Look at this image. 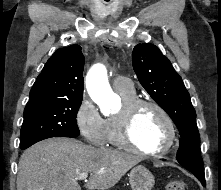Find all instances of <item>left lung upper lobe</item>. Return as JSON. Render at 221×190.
Returning a JSON list of instances; mask_svg holds the SVG:
<instances>
[{
	"label": "left lung upper lobe",
	"mask_w": 221,
	"mask_h": 190,
	"mask_svg": "<svg viewBox=\"0 0 221 190\" xmlns=\"http://www.w3.org/2000/svg\"><path fill=\"white\" fill-rule=\"evenodd\" d=\"M132 63L141 85L169 114L180 132L178 163L191 172L204 174L196 112L182 78L153 44L136 45Z\"/></svg>",
	"instance_id": "obj_1"
}]
</instances>
